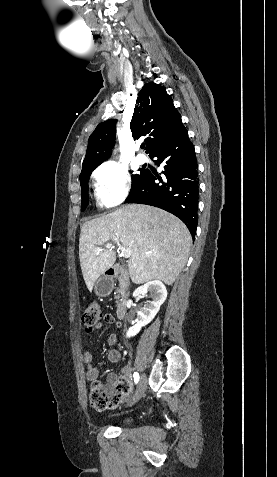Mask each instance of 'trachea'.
<instances>
[{
    "instance_id": "1",
    "label": "trachea",
    "mask_w": 277,
    "mask_h": 477,
    "mask_svg": "<svg viewBox=\"0 0 277 477\" xmlns=\"http://www.w3.org/2000/svg\"><path fill=\"white\" fill-rule=\"evenodd\" d=\"M144 147H145V144H141V148L144 149Z\"/></svg>"
}]
</instances>
